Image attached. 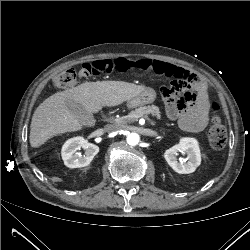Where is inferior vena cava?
Here are the masks:
<instances>
[{"mask_svg": "<svg viewBox=\"0 0 250 250\" xmlns=\"http://www.w3.org/2000/svg\"><path fill=\"white\" fill-rule=\"evenodd\" d=\"M118 129H119V127L116 126V125H106L105 126V131L108 132V133L117 131Z\"/></svg>", "mask_w": 250, "mask_h": 250, "instance_id": "inferior-vena-cava-1", "label": "inferior vena cava"}]
</instances>
